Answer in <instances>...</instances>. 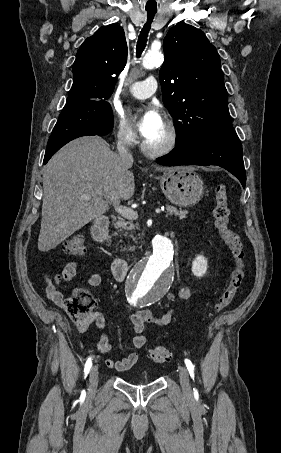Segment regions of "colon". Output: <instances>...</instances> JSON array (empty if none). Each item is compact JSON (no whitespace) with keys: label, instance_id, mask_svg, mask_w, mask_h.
I'll use <instances>...</instances> for the list:
<instances>
[{"label":"colon","instance_id":"obj_1","mask_svg":"<svg viewBox=\"0 0 281 453\" xmlns=\"http://www.w3.org/2000/svg\"><path fill=\"white\" fill-rule=\"evenodd\" d=\"M230 186L227 183H218L214 186L212 206L214 213V228L221 236L225 246L230 250L233 266L229 282L218 297L208 317L224 310L236 297L244 284L246 273L245 250L240 236L230 228L229 200ZM55 250L63 257H85L87 246L81 238H68L59 242ZM68 311L77 316H84L86 309L75 301L68 303ZM149 358L154 363H167L170 361V352L166 348L149 350Z\"/></svg>","mask_w":281,"mask_h":453}]
</instances>
